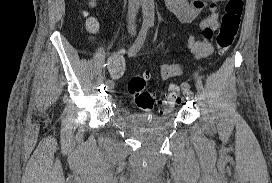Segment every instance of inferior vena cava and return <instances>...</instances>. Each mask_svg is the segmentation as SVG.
<instances>
[{
	"instance_id": "1",
	"label": "inferior vena cava",
	"mask_w": 272,
	"mask_h": 183,
	"mask_svg": "<svg viewBox=\"0 0 272 183\" xmlns=\"http://www.w3.org/2000/svg\"><path fill=\"white\" fill-rule=\"evenodd\" d=\"M140 0H129L128 3V29H135V19L139 9Z\"/></svg>"
}]
</instances>
